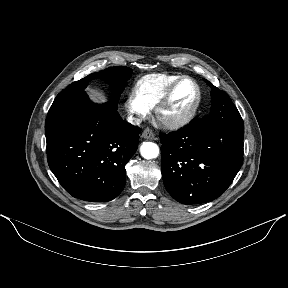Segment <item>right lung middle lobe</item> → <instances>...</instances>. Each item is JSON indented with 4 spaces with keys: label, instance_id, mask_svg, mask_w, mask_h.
<instances>
[{
    "label": "right lung middle lobe",
    "instance_id": "1",
    "mask_svg": "<svg viewBox=\"0 0 288 288\" xmlns=\"http://www.w3.org/2000/svg\"><path fill=\"white\" fill-rule=\"evenodd\" d=\"M131 72L132 70L128 67L118 66V67H110L100 72L90 74L85 78L79 81H75L71 85L67 86L61 93L57 95L52 105L60 102L61 100L73 94H78L84 91V89L87 87L88 83L91 80L100 78L110 83L111 88L113 90L110 103L115 107H117L120 95L127 84V80L131 76Z\"/></svg>",
    "mask_w": 288,
    "mask_h": 288
}]
</instances>
